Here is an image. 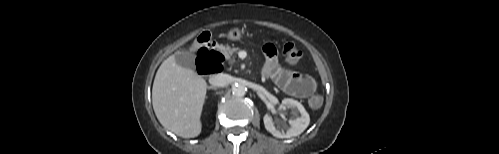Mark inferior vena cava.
<instances>
[{
    "instance_id": "obj_1",
    "label": "inferior vena cava",
    "mask_w": 499,
    "mask_h": 154,
    "mask_svg": "<svg viewBox=\"0 0 499 154\" xmlns=\"http://www.w3.org/2000/svg\"><path fill=\"white\" fill-rule=\"evenodd\" d=\"M231 77L228 74H215L212 75L209 79V82L213 86L223 87L230 83Z\"/></svg>"
}]
</instances>
